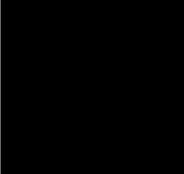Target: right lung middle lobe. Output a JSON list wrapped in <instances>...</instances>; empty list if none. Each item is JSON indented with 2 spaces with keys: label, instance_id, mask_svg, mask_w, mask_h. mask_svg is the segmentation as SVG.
Wrapping results in <instances>:
<instances>
[{
  "label": "right lung middle lobe",
  "instance_id": "right-lung-middle-lobe-1",
  "mask_svg": "<svg viewBox=\"0 0 184 174\" xmlns=\"http://www.w3.org/2000/svg\"><path fill=\"white\" fill-rule=\"evenodd\" d=\"M42 97H43V94H42V91L40 90V88L39 87H35L34 88V90H33V92H32V107L34 106V105H36L38 102H40L41 100H42ZM55 120H57V119H50V120H46V121H40V122H54ZM37 123H39V122H37Z\"/></svg>",
  "mask_w": 184,
  "mask_h": 174
}]
</instances>
